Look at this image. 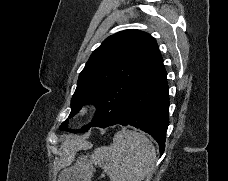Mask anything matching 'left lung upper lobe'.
<instances>
[{"mask_svg": "<svg viewBox=\"0 0 228 181\" xmlns=\"http://www.w3.org/2000/svg\"><path fill=\"white\" fill-rule=\"evenodd\" d=\"M161 58L155 39L146 32L124 30L109 36L90 56L71 100L69 117L90 103L97 107L95 117L81 130H69L68 119L60 129L81 133L94 126L115 124L122 118L138 82Z\"/></svg>", "mask_w": 228, "mask_h": 181, "instance_id": "obj_1", "label": "left lung upper lobe"}]
</instances>
